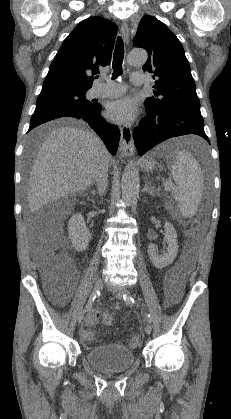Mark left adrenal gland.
I'll return each mask as SVG.
<instances>
[{
    "label": "left adrenal gland",
    "instance_id": "1",
    "mask_svg": "<svg viewBox=\"0 0 231 419\" xmlns=\"http://www.w3.org/2000/svg\"><path fill=\"white\" fill-rule=\"evenodd\" d=\"M142 192L143 193L146 192V193H149L150 195L154 196V193H153L152 189L148 186L147 181L145 182V186H144Z\"/></svg>",
    "mask_w": 231,
    "mask_h": 419
}]
</instances>
